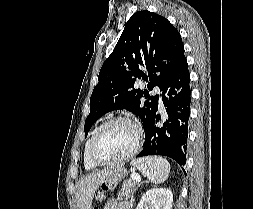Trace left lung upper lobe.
Masks as SVG:
<instances>
[{
    "label": "left lung upper lobe",
    "mask_w": 253,
    "mask_h": 209,
    "mask_svg": "<svg viewBox=\"0 0 253 209\" xmlns=\"http://www.w3.org/2000/svg\"><path fill=\"white\" fill-rule=\"evenodd\" d=\"M184 58L181 35L166 18L147 10L134 13L101 67L90 98L85 134L97 119L116 109L139 116L146 131L158 109V96H149V91L154 86L162 89ZM141 78L147 82L148 90L134 88Z\"/></svg>",
    "instance_id": "5c2ea615"
}]
</instances>
